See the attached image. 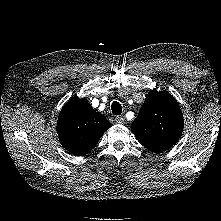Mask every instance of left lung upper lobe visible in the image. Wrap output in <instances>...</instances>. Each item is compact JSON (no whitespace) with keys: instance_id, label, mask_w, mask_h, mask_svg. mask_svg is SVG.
Returning <instances> with one entry per match:
<instances>
[{"instance_id":"5c2ea615","label":"left lung upper lobe","mask_w":221,"mask_h":221,"mask_svg":"<svg viewBox=\"0 0 221 221\" xmlns=\"http://www.w3.org/2000/svg\"><path fill=\"white\" fill-rule=\"evenodd\" d=\"M131 130L148 150L155 153L165 151L178 141L183 131L179 104L169 93L151 90Z\"/></svg>"}]
</instances>
